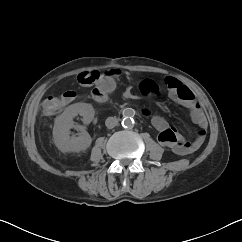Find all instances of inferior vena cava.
<instances>
[{
    "instance_id": "inferior-vena-cava-1",
    "label": "inferior vena cava",
    "mask_w": 242,
    "mask_h": 242,
    "mask_svg": "<svg viewBox=\"0 0 242 242\" xmlns=\"http://www.w3.org/2000/svg\"><path fill=\"white\" fill-rule=\"evenodd\" d=\"M105 125L108 129H112L118 125V119L116 117H108L105 121Z\"/></svg>"
}]
</instances>
